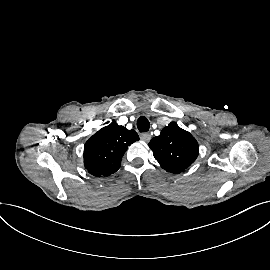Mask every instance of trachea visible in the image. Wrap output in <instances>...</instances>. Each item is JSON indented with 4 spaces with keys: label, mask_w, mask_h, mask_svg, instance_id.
Masks as SVG:
<instances>
[{
    "label": "trachea",
    "mask_w": 270,
    "mask_h": 270,
    "mask_svg": "<svg viewBox=\"0 0 270 270\" xmlns=\"http://www.w3.org/2000/svg\"><path fill=\"white\" fill-rule=\"evenodd\" d=\"M137 127L140 132H147L150 128V123L146 117L142 116L137 120Z\"/></svg>",
    "instance_id": "1"
}]
</instances>
